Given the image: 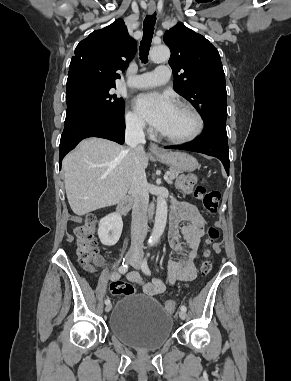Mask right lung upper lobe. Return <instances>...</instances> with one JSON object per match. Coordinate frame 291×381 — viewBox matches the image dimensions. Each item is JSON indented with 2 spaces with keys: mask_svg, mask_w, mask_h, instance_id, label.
Here are the masks:
<instances>
[{
  "mask_svg": "<svg viewBox=\"0 0 291 381\" xmlns=\"http://www.w3.org/2000/svg\"><path fill=\"white\" fill-rule=\"evenodd\" d=\"M136 53L132 39L122 19L92 32L75 49L69 67L68 79L82 77L100 83L115 84L120 78L116 72L125 70Z\"/></svg>",
  "mask_w": 291,
  "mask_h": 381,
  "instance_id": "right-lung-upper-lobe-1",
  "label": "right lung upper lobe"
}]
</instances>
